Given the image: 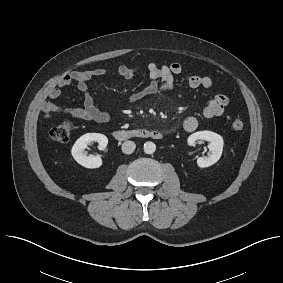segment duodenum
<instances>
[{
    "label": "duodenum",
    "mask_w": 283,
    "mask_h": 283,
    "mask_svg": "<svg viewBox=\"0 0 283 283\" xmlns=\"http://www.w3.org/2000/svg\"><path fill=\"white\" fill-rule=\"evenodd\" d=\"M112 136L117 140H127L131 138L162 139L164 137V133L159 130L121 129L113 131Z\"/></svg>",
    "instance_id": "duodenum-1"
}]
</instances>
